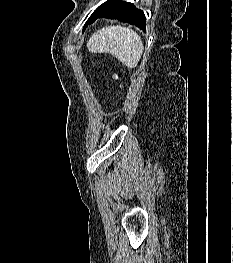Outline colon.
<instances>
[{
	"mask_svg": "<svg viewBox=\"0 0 233 263\" xmlns=\"http://www.w3.org/2000/svg\"><path fill=\"white\" fill-rule=\"evenodd\" d=\"M116 79H118L120 81V78L118 77V75L115 76ZM120 86H122V83L120 82Z\"/></svg>",
	"mask_w": 233,
	"mask_h": 263,
	"instance_id": "1",
	"label": "colon"
}]
</instances>
